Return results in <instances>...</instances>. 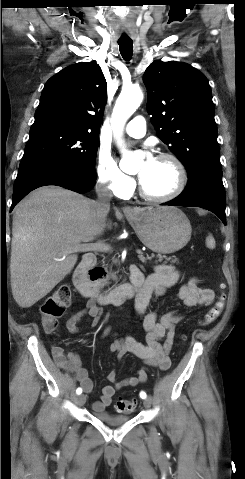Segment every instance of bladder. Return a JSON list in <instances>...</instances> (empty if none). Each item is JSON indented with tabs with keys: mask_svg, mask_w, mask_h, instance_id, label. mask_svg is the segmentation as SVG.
<instances>
[{
	"mask_svg": "<svg viewBox=\"0 0 245 479\" xmlns=\"http://www.w3.org/2000/svg\"><path fill=\"white\" fill-rule=\"evenodd\" d=\"M94 417L110 425H122L131 419L129 415H111L109 413H96Z\"/></svg>",
	"mask_w": 245,
	"mask_h": 479,
	"instance_id": "bladder-1",
	"label": "bladder"
}]
</instances>
